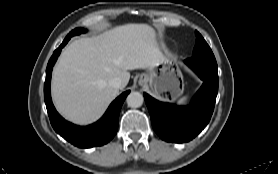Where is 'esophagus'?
<instances>
[{
    "mask_svg": "<svg viewBox=\"0 0 278 174\" xmlns=\"http://www.w3.org/2000/svg\"><path fill=\"white\" fill-rule=\"evenodd\" d=\"M147 84V78L145 76L141 77L139 79V85L140 86H145Z\"/></svg>",
    "mask_w": 278,
    "mask_h": 174,
    "instance_id": "1",
    "label": "esophagus"
}]
</instances>
